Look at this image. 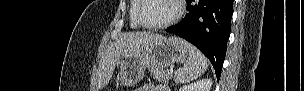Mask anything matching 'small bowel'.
Here are the masks:
<instances>
[{
  "label": "small bowel",
  "instance_id": "small-bowel-1",
  "mask_svg": "<svg viewBox=\"0 0 304 91\" xmlns=\"http://www.w3.org/2000/svg\"><path fill=\"white\" fill-rule=\"evenodd\" d=\"M167 87L163 85L145 84L138 91H167Z\"/></svg>",
  "mask_w": 304,
  "mask_h": 91
}]
</instances>
